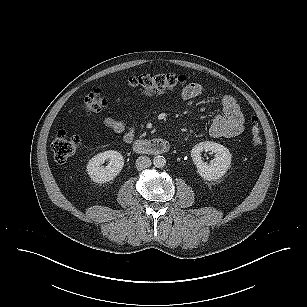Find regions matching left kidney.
<instances>
[{
  "mask_svg": "<svg viewBox=\"0 0 307 307\" xmlns=\"http://www.w3.org/2000/svg\"><path fill=\"white\" fill-rule=\"evenodd\" d=\"M203 151H211L215 153V158L209 164L201 159ZM191 157L197 166L198 174L208 181H216L220 179L228 170L231 164V154L229 150L218 143L205 141L195 145L191 150Z\"/></svg>",
  "mask_w": 307,
  "mask_h": 307,
  "instance_id": "obj_1",
  "label": "left kidney"
}]
</instances>
